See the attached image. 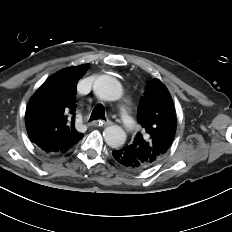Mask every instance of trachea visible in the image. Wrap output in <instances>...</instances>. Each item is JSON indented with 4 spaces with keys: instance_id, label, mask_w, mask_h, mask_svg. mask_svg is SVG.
Returning a JSON list of instances; mask_svg holds the SVG:
<instances>
[{
    "instance_id": "3493384b",
    "label": "trachea",
    "mask_w": 232,
    "mask_h": 232,
    "mask_svg": "<svg viewBox=\"0 0 232 232\" xmlns=\"http://www.w3.org/2000/svg\"><path fill=\"white\" fill-rule=\"evenodd\" d=\"M97 119H106L105 118V110L103 105H96L95 108L93 109L89 122L93 121V120H97Z\"/></svg>"
}]
</instances>
